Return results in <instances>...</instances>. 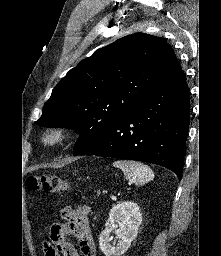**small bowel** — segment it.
I'll return each mask as SVG.
<instances>
[{
	"label": "small bowel",
	"instance_id": "obj_1",
	"mask_svg": "<svg viewBox=\"0 0 221 256\" xmlns=\"http://www.w3.org/2000/svg\"><path fill=\"white\" fill-rule=\"evenodd\" d=\"M90 209L70 207L61 210L62 223L51 226L49 239L43 245L44 256H95V245L89 225ZM74 235L79 244V250L67 239Z\"/></svg>",
	"mask_w": 221,
	"mask_h": 256
}]
</instances>
